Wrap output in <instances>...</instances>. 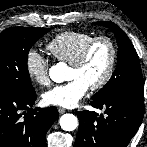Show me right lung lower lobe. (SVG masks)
Returning a JSON list of instances; mask_svg holds the SVG:
<instances>
[{"label": "right lung lower lobe", "mask_w": 147, "mask_h": 147, "mask_svg": "<svg viewBox=\"0 0 147 147\" xmlns=\"http://www.w3.org/2000/svg\"><path fill=\"white\" fill-rule=\"evenodd\" d=\"M36 100L28 93H0V147H45L46 133L58 118L55 106L32 109Z\"/></svg>", "instance_id": "1"}]
</instances>
